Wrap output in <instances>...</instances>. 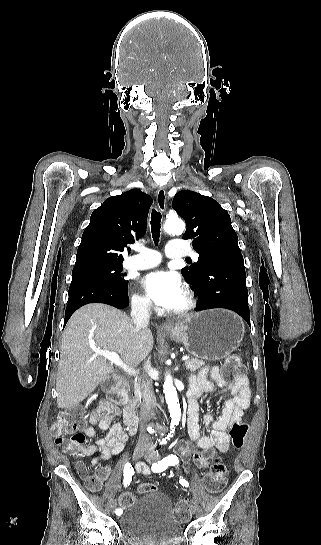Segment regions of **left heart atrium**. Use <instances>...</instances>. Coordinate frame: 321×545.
Masks as SVG:
<instances>
[{
  "instance_id": "39dd6f15",
  "label": "left heart atrium",
  "mask_w": 321,
  "mask_h": 545,
  "mask_svg": "<svg viewBox=\"0 0 321 545\" xmlns=\"http://www.w3.org/2000/svg\"><path fill=\"white\" fill-rule=\"evenodd\" d=\"M140 284L148 298L162 312L175 310L184 292V283L172 271H152L141 279Z\"/></svg>"
}]
</instances>
